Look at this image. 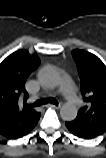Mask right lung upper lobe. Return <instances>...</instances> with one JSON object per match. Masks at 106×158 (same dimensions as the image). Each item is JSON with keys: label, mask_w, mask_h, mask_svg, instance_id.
Returning <instances> with one entry per match:
<instances>
[{"label": "right lung upper lobe", "mask_w": 106, "mask_h": 158, "mask_svg": "<svg viewBox=\"0 0 106 158\" xmlns=\"http://www.w3.org/2000/svg\"><path fill=\"white\" fill-rule=\"evenodd\" d=\"M39 64L37 54L18 50L0 64V134L16 139L30 132L40 113L26 103L25 82Z\"/></svg>", "instance_id": "1"}]
</instances>
